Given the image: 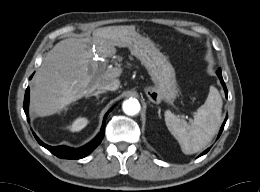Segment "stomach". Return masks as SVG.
<instances>
[{"label":"stomach","instance_id":"obj_1","mask_svg":"<svg viewBox=\"0 0 260 192\" xmlns=\"http://www.w3.org/2000/svg\"><path fill=\"white\" fill-rule=\"evenodd\" d=\"M116 46L127 47L146 68L153 86L145 87L148 99L159 104L164 101L173 104L177 96L175 71L168 59L155 47L154 43L131 27H117L110 33Z\"/></svg>","mask_w":260,"mask_h":192}]
</instances>
